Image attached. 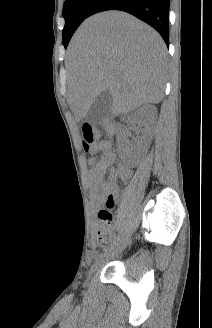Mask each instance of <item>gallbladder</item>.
Instances as JSON below:
<instances>
[{"label":"gallbladder","instance_id":"gallbladder-1","mask_svg":"<svg viewBox=\"0 0 212 328\" xmlns=\"http://www.w3.org/2000/svg\"><path fill=\"white\" fill-rule=\"evenodd\" d=\"M112 95L106 90L100 93L93 101L87 115V121L92 125L101 123L111 113Z\"/></svg>","mask_w":212,"mask_h":328}]
</instances>
